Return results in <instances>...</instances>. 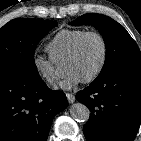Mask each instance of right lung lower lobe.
Returning a JSON list of instances; mask_svg holds the SVG:
<instances>
[{
    "mask_svg": "<svg viewBox=\"0 0 141 141\" xmlns=\"http://www.w3.org/2000/svg\"><path fill=\"white\" fill-rule=\"evenodd\" d=\"M68 106L39 74H0V141H46L54 116Z\"/></svg>",
    "mask_w": 141,
    "mask_h": 141,
    "instance_id": "98d812e1",
    "label": "right lung lower lobe"
}]
</instances>
